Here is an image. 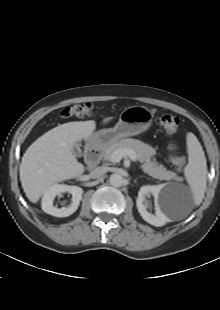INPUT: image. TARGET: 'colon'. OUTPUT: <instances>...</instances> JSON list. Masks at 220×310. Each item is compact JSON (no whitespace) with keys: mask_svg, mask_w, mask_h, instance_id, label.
Wrapping results in <instances>:
<instances>
[{"mask_svg":"<svg viewBox=\"0 0 220 310\" xmlns=\"http://www.w3.org/2000/svg\"><path fill=\"white\" fill-rule=\"evenodd\" d=\"M93 113V105L91 103H82L76 104L73 106H69L64 108L60 115L63 118H71V117H87ZM159 125L170 134L175 133L180 125V119L173 114H163L159 118ZM172 162L176 167L178 172H181L186 164V158L184 156H174L172 158Z\"/></svg>","mask_w":220,"mask_h":310,"instance_id":"5ec220e1","label":"colon"}]
</instances>
